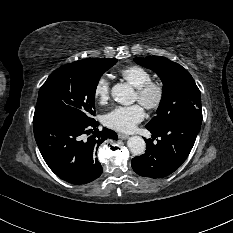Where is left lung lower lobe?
I'll use <instances>...</instances> for the list:
<instances>
[{
  "label": "left lung lower lobe",
  "mask_w": 233,
  "mask_h": 233,
  "mask_svg": "<svg viewBox=\"0 0 233 233\" xmlns=\"http://www.w3.org/2000/svg\"><path fill=\"white\" fill-rule=\"evenodd\" d=\"M202 123L201 109L193 110L175 119L159 130L147 128L160 136L158 143L145 140V154L132 159L133 170L151 178H162L173 173L188 157Z\"/></svg>",
  "instance_id": "obj_1"
}]
</instances>
